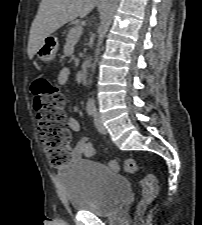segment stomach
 Returning <instances> with one entry per match:
<instances>
[{"mask_svg": "<svg viewBox=\"0 0 202 225\" xmlns=\"http://www.w3.org/2000/svg\"><path fill=\"white\" fill-rule=\"evenodd\" d=\"M58 47V39L55 36L48 35L42 40L37 50V56L44 62H50L55 58Z\"/></svg>", "mask_w": 202, "mask_h": 225, "instance_id": "obj_1", "label": "stomach"}]
</instances>
